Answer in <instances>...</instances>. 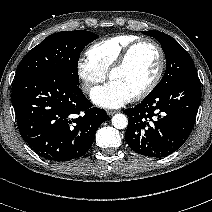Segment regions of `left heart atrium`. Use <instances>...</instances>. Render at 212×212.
Here are the masks:
<instances>
[{"label":"left heart atrium","mask_w":212,"mask_h":212,"mask_svg":"<svg viewBox=\"0 0 212 212\" xmlns=\"http://www.w3.org/2000/svg\"><path fill=\"white\" fill-rule=\"evenodd\" d=\"M91 98L95 104L101 107L117 108L129 102L132 96L110 82L105 86L94 89Z\"/></svg>","instance_id":"1"}]
</instances>
